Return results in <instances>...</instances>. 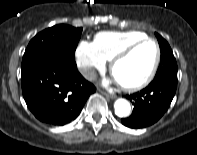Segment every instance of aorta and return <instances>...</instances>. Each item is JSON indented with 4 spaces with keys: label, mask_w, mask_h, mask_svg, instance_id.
I'll list each match as a JSON object with an SVG mask.
<instances>
[{
    "label": "aorta",
    "mask_w": 197,
    "mask_h": 155,
    "mask_svg": "<svg viewBox=\"0 0 197 155\" xmlns=\"http://www.w3.org/2000/svg\"><path fill=\"white\" fill-rule=\"evenodd\" d=\"M115 114L118 117H127L130 114V103L125 99H117L114 103Z\"/></svg>",
    "instance_id": "obj_1"
}]
</instances>
